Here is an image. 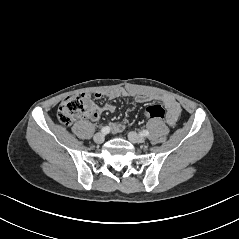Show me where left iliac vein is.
Instances as JSON below:
<instances>
[{"label": "left iliac vein", "instance_id": "obj_1", "mask_svg": "<svg viewBox=\"0 0 239 239\" xmlns=\"http://www.w3.org/2000/svg\"><path fill=\"white\" fill-rule=\"evenodd\" d=\"M128 139L133 144H140L144 142V138L133 131L128 133Z\"/></svg>", "mask_w": 239, "mask_h": 239}]
</instances>
